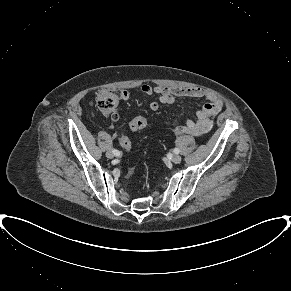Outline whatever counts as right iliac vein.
Segmentation results:
<instances>
[{"instance_id": "right-iliac-vein-1", "label": "right iliac vein", "mask_w": 291, "mask_h": 291, "mask_svg": "<svg viewBox=\"0 0 291 291\" xmlns=\"http://www.w3.org/2000/svg\"><path fill=\"white\" fill-rule=\"evenodd\" d=\"M106 156H107V158L112 159L115 155H114L112 150H109V151L106 152Z\"/></svg>"}]
</instances>
